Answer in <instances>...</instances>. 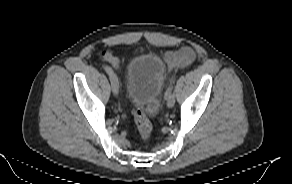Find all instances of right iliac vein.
Listing matches in <instances>:
<instances>
[{"instance_id": "obj_1", "label": "right iliac vein", "mask_w": 292, "mask_h": 184, "mask_svg": "<svg viewBox=\"0 0 292 184\" xmlns=\"http://www.w3.org/2000/svg\"><path fill=\"white\" fill-rule=\"evenodd\" d=\"M110 81H111V86H112V92L116 96L119 91V83H118V78L114 73L110 76Z\"/></svg>"}]
</instances>
